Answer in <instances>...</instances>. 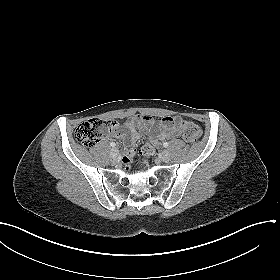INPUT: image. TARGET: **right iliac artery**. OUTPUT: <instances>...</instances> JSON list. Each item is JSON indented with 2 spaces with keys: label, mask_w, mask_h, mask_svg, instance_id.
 I'll list each match as a JSON object with an SVG mask.
<instances>
[{
  "label": "right iliac artery",
  "mask_w": 280,
  "mask_h": 280,
  "mask_svg": "<svg viewBox=\"0 0 280 280\" xmlns=\"http://www.w3.org/2000/svg\"><path fill=\"white\" fill-rule=\"evenodd\" d=\"M110 146L115 147L116 144H115L114 142H111V143H110Z\"/></svg>",
  "instance_id": "82829eb1"
}]
</instances>
